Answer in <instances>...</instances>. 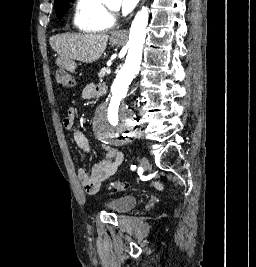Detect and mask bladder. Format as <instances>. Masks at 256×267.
<instances>
[{"label": "bladder", "mask_w": 256, "mask_h": 267, "mask_svg": "<svg viewBox=\"0 0 256 267\" xmlns=\"http://www.w3.org/2000/svg\"><path fill=\"white\" fill-rule=\"evenodd\" d=\"M105 204L112 207L113 213L122 214L136 206L137 199L132 195L119 196L106 200Z\"/></svg>", "instance_id": "1"}]
</instances>
